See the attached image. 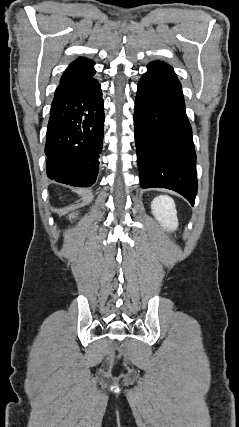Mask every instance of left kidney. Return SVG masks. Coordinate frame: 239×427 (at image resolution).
<instances>
[{"label":"left kidney","mask_w":239,"mask_h":427,"mask_svg":"<svg viewBox=\"0 0 239 427\" xmlns=\"http://www.w3.org/2000/svg\"><path fill=\"white\" fill-rule=\"evenodd\" d=\"M152 214L158 222L168 230H176L178 227L177 211L175 203L169 196L160 195L151 202Z\"/></svg>","instance_id":"5707ae66"}]
</instances>
